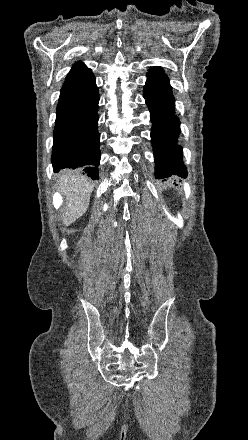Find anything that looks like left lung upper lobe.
I'll return each instance as SVG.
<instances>
[{"label": "left lung upper lobe", "instance_id": "1", "mask_svg": "<svg viewBox=\"0 0 248 440\" xmlns=\"http://www.w3.org/2000/svg\"><path fill=\"white\" fill-rule=\"evenodd\" d=\"M147 76L149 79L154 81L169 82L168 77L159 66L150 68Z\"/></svg>", "mask_w": 248, "mask_h": 440}]
</instances>
